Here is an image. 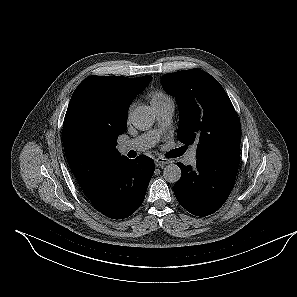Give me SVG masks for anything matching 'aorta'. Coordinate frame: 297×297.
I'll list each match as a JSON object with an SVG mask.
<instances>
[{"mask_svg":"<svg viewBox=\"0 0 297 297\" xmlns=\"http://www.w3.org/2000/svg\"><path fill=\"white\" fill-rule=\"evenodd\" d=\"M155 115L149 106H138L131 114L132 124L139 130H147L153 124ZM164 179L169 183H176L181 179L182 171L176 164H169L163 171Z\"/></svg>","mask_w":297,"mask_h":297,"instance_id":"aorta-1","label":"aorta"}]
</instances>
